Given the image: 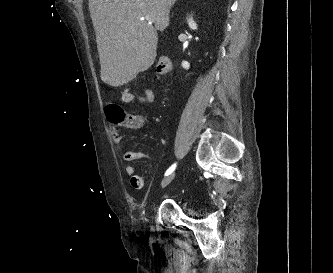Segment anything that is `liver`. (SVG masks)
<instances>
[{"mask_svg": "<svg viewBox=\"0 0 333 273\" xmlns=\"http://www.w3.org/2000/svg\"><path fill=\"white\" fill-rule=\"evenodd\" d=\"M174 0H89L101 80L122 86L146 71L157 56V31L169 25ZM151 18L154 26L148 22Z\"/></svg>", "mask_w": 333, "mask_h": 273, "instance_id": "1", "label": "liver"}]
</instances>
